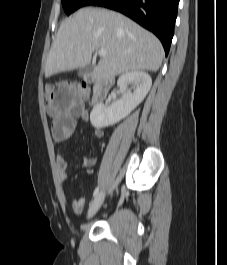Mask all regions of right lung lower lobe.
Segmentation results:
<instances>
[{
    "mask_svg": "<svg viewBox=\"0 0 227 265\" xmlns=\"http://www.w3.org/2000/svg\"><path fill=\"white\" fill-rule=\"evenodd\" d=\"M179 0H93L89 5L119 11L153 32L167 55L174 35Z\"/></svg>",
    "mask_w": 227,
    "mask_h": 265,
    "instance_id": "1",
    "label": "right lung lower lobe"
}]
</instances>
